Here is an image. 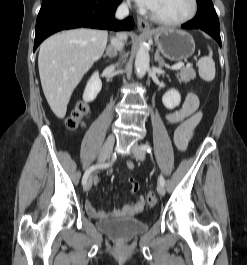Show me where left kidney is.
Masks as SVG:
<instances>
[{
  "instance_id": "left-kidney-1",
  "label": "left kidney",
  "mask_w": 247,
  "mask_h": 265,
  "mask_svg": "<svg viewBox=\"0 0 247 265\" xmlns=\"http://www.w3.org/2000/svg\"><path fill=\"white\" fill-rule=\"evenodd\" d=\"M162 102L167 109L172 110L180 104L181 95L177 90L171 89L163 95Z\"/></svg>"
}]
</instances>
